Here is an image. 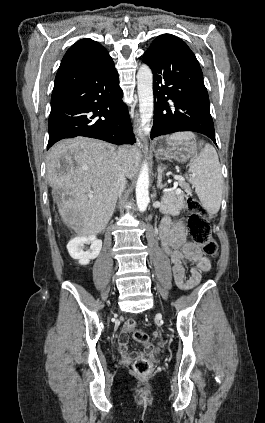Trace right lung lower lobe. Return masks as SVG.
Here are the masks:
<instances>
[{"mask_svg": "<svg viewBox=\"0 0 265 423\" xmlns=\"http://www.w3.org/2000/svg\"><path fill=\"white\" fill-rule=\"evenodd\" d=\"M113 61L59 68L51 97L47 149L65 138L133 144L135 136Z\"/></svg>", "mask_w": 265, "mask_h": 423, "instance_id": "1", "label": "right lung lower lobe"}]
</instances>
